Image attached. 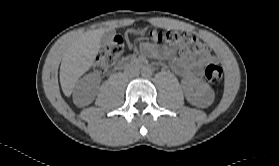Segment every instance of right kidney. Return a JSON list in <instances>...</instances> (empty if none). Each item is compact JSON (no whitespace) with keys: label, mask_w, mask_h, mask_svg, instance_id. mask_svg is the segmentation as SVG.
Wrapping results in <instances>:
<instances>
[{"label":"right kidney","mask_w":279,"mask_h":166,"mask_svg":"<svg viewBox=\"0 0 279 166\" xmlns=\"http://www.w3.org/2000/svg\"><path fill=\"white\" fill-rule=\"evenodd\" d=\"M99 79L96 76L90 75L78 81L74 90V100L83 106L90 102L96 95V90L99 85Z\"/></svg>","instance_id":"1"}]
</instances>
